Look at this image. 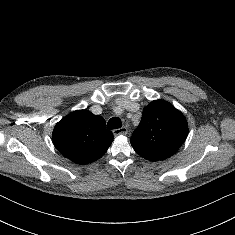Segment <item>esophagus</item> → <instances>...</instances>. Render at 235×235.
<instances>
[{
	"label": "esophagus",
	"instance_id": "34e87169",
	"mask_svg": "<svg viewBox=\"0 0 235 235\" xmlns=\"http://www.w3.org/2000/svg\"><path fill=\"white\" fill-rule=\"evenodd\" d=\"M127 132H128L127 127L123 126V127H121V128L115 129V130L113 131V134H114V136L126 135Z\"/></svg>",
	"mask_w": 235,
	"mask_h": 235
}]
</instances>
